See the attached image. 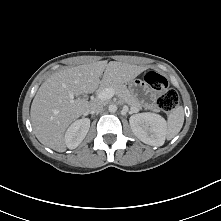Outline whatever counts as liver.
I'll use <instances>...</instances> for the list:
<instances>
[{
  "mask_svg": "<svg viewBox=\"0 0 221 221\" xmlns=\"http://www.w3.org/2000/svg\"><path fill=\"white\" fill-rule=\"evenodd\" d=\"M144 70L145 67L133 64L98 61L52 74L42 83L31 105L35 136L43 145L64 152L66 129L74 120L88 113L91 106L87 100L74 99V96L93 93L100 84L130 82Z\"/></svg>",
  "mask_w": 221,
  "mask_h": 221,
  "instance_id": "liver-1",
  "label": "liver"
}]
</instances>
